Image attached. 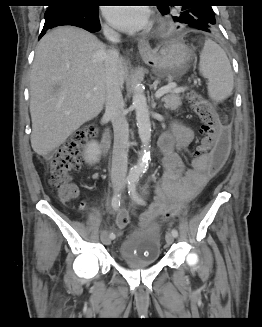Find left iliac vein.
Here are the masks:
<instances>
[{"label": "left iliac vein", "instance_id": "1", "mask_svg": "<svg viewBox=\"0 0 262 327\" xmlns=\"http://www.w3.org/2000/svg\"><path fill=\"white\" fill-rule=\"evenodd\" d=\"M165 239L168 245H171L174 242V236L170 232L166 233Z\"/></svg>", "mask_w": 262, "mask_h": 327}]
</instances>
